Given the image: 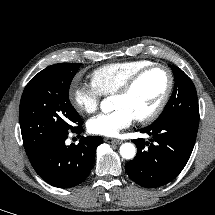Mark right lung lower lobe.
Segmentation results:
<instances>
[{
    "label": "right lung lower lobe",
    "mask_w": 215,
    "mask_h": 215,
    "mask_svg": "<svg viewBox=\"0 0 215 215\" xmlns=\"http://www.w3.org/2000/svg\"><path fill=\"white\" fill-rule=\"evenodd\" d=\"M82 121L79 123L81 124ZM77 126L72 133H81ZM67 134L55 138L27 154L37 174L47 183L58 188H70L81 183L90 173L102 137H83L78 145L67 146Z\"/></svg>",
    "instance_id": "98d812e1"
}]
</instances>
